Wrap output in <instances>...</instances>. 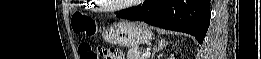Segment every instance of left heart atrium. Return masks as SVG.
<instances>
[{
    "instance_id": "39dd6f15",
    "label": "left heart atrium",
    "mask_w": 261,
    "mask_h": 59,
    "mask_svg": "<svg viewBox=\"0 0 261 59\" xmlns=\"http://www.w3.org/2000/svg\"><path fill=\"white\" fill-rule=\"evenodd\" d=\"M128 2L138 3V2H140V0H133V1H128Z\"/></svg>"
}]
</instances>
